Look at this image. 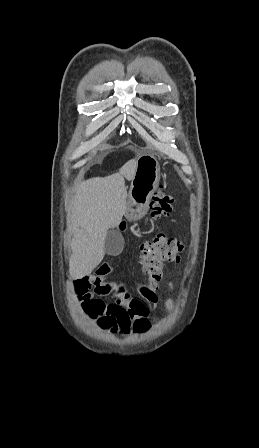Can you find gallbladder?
<instances>
[{
	"instance_id": "obj_1",
	"label": "gallbladder",
	"mask_w": 259,
	"mask_h": 448,
	"mask_svg": "<svg viewBox=\"0 0 259 448\" xmlns=\"http://www.w3.org/2000/svg\"><path fill=\"white\" fill-rule=\"evenodd\" d=\"M124 240L118 230H110L104 244V250L110 256H117L123 250Z\"/></svg>"
}]
</instances>
